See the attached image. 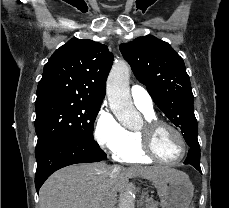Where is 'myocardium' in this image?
Here are the masks:
<instances>
[{
    "mask_svg": "<svg viewBox=\"0 0 229 208\" xmlns=\"http://www.w3.org/2000/svg\"><path fill=\"white\" fill-rule=\"evenodd\" d=\"M169 128V134L172 135L174 143H178V147H185L184 154L176 160H161V157H156V152H152L151 139H155L156 133L161 128ZM139 134L141 135L144 143H142L141 153L144 158H153L154 160L164 164H177L182 162L191 150V144L185 134L177 126L158 119H148L144 125V129H141ZM182 137V138H181ZM184 141V142H183Z\"/></svg>",
    "mask_w": 229,
    "mask_h": 208,
    "instance_id": "obj_1",
    "label": "myocardium"
}]
</instances>
